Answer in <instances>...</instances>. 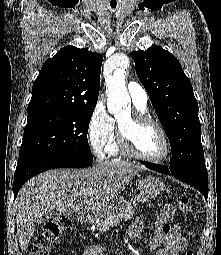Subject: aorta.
I'll use <instances>...</instances> for the list:
<instances>
[{
  "label": "aorta",
  "mask_w": 221,
  "mask_h": 255,
  "mask_svg": "<svg viewBox=\"0 0 221 255\" xmlns=\"http://www.w3.org/2000/svg\"><path fill=\"white\" fill-rule=\"evenodd\" d=\"M129 59L122 57L121 66L114 69L113 73L106 76V87L108 92L107 108L111 114L120 117L126 112L130 103V96L125 86L126 71Z\"/></svg>",
  "instance_id": "762f6f07"
}]
</instances>
